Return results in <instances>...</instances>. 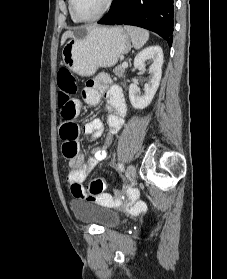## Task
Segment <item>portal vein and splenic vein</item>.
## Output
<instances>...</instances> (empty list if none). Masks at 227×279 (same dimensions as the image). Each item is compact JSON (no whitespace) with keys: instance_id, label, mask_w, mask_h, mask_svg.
<instances>
[{"instance_id":"portal-vein-and-splenic-vein-1","label":"portal vein and splenic vein","mask_w":227,"mask_h":279,"mask_svg":"<svg viewBox=\"0 0 227 279\" xmlns=\"http://www.w3.org/2000/svg\"><path fill=\"white\" fill-rule=\"evenodd\" d=\"M127 66H128V63H127V62H123V63H122V67H123V68H126Z\"/></svg>"}]
</instances>
